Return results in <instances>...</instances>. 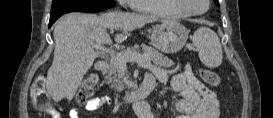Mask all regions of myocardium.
I'll list each match as a JSON object with an SVG mask.
<instances>
[{"label":"myocardium","instance_id":"f54148a6","mask_svg":"<svg viewBox=\"0 0 273 118\" xmlns=\"http://www.w3.org/2000/svg\"><path fill=\"white\" fill-rule=\"evenodd\" d=\"M191 0H175L176 6L182 10L186 15L189 16H198L205 13L209 9L210 1L208 0H200L204 4V8L202 10L196 11L190 8Z\"/></svg>","mask_w":273,"mask_h":118}]
</instances>
